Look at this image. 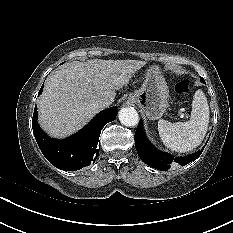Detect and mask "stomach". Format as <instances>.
Instances as JSON below:
<instances>
[{
	"mask_svg": "<svg viewBox=\"0 0 233 233\" xmlns=\"http://www.w3.org/2000/svg\"><path fill=\"white\" fill-rule=\"evenodd\" d=\"M169 90L158 66L147 69L142 87L131 93L128 101L137 104L150 120L160 119L166 112Z\"/></svg>",
	"mask_w": 233,
	"mask_h": 233,
	"instance_id": "0dacf381",
	"label": "stomach"
}]
</instances>
